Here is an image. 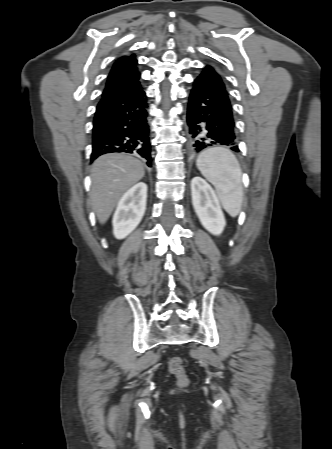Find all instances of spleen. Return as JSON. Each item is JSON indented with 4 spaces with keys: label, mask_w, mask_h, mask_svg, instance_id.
I'll use <instances>...</instances> for the list:
<instances>
[{
    "label": "spleen",
    "mask_w": 332,
    "mask_h": 449,
    "mask_svg": "<svg viewBox=\"0 0 332 449\" xmlns=\"http://www.w3.org/2000/svg\"><path fill=\"white\" fill-rule=\"evenodd\" d=\"M196 166L214 185L225 211L236 217L242 206V171L235 155L223 147L209 148L200 153Z\"/></svg>",
    "instance_id": "spleen-1"
}]
</instances>
